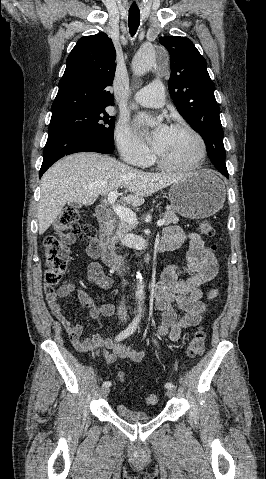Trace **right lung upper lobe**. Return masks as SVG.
Instances as JSON below:
<instances>
[{"label": "right lung upper lobe", "instance_id": "right-lung-upper-lobe-1", "mask_svg": "<svg viewBox=\"0 0 266 479\" xmlns=\"http://www.w3.org/2000/svg\"><path fill=\"white\" fill-rule=\"evenodd\" d=\"M115 48L101 32L80 38L69 54L51 111L106 108L114 105L108 86L115 75Z\"/></svg>", "mask_w": 266, "mask_h": 479}]
</instances>
